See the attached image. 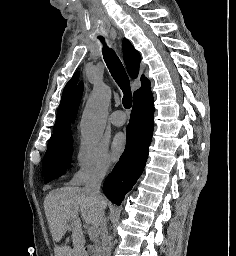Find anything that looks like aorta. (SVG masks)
I'll list each match as a JSON object with an SVG mask.
<instances>
[{
  "label": "aorta",
  "mask_w": 236,
  "mask_h": 256,
  "mask_svg": "<svg viewBox=\"0 0 236 256\" xmlns=\"http://www.w3.org/2000/svg\"><path fill=\"white\" fill-rule=\"evenodd\" d=\"M111 100V89L105 84L94 86L81 119V136L85 142L96 143L105 129V120Z\"/></svg>",
  "instance_id": "1"
}]
</instances>
